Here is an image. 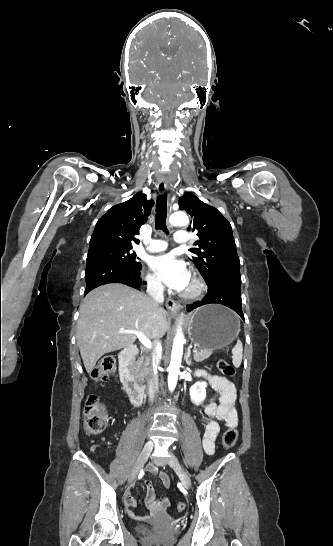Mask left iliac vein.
Here are the masks:
<instances>
[{
	"label": "left iliac vein",
	"mask_w": 333,
	"mask_h": 546,
	"mask_svg": "<svg viewBox=\"0 0 333 546\" xmlns=\"http://www.w3.org/2000/svg\"><path fill=\"white\" fill-rule=\"evenodd\" d=\"M169 465L171 468L177 473L180 480L182 481L183 485L187 488L191 487V479L188 475V473L183 469L180 462L178 461L177 457L172 453L169 452V458H168Z\"/></svg>",
	"instance_id": "4c4485c4"
}]
</instances>
